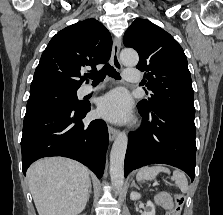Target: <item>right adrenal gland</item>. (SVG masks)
<instances>
[{
  "mask_svg": "<svg viewBox=\"0 0 223 215\" xmlns=\"http://www.w3.org/2000/svg\"><path fill=\"white\" fill-rule=\"evenodd\" d=\"M90 193H92V183L90 181L89 189H88V195H87V201H89Z\"/></svg>",
  "mask_w": 223,
  "mask_h": 215,
  "instance_id": "right-adrenal-gland-1",
  "label": "right adrenal gland"
}]
</instances>
